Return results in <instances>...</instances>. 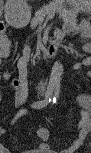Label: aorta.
<instances>
[{
    "mask_svg": "<svg viewBox=\"0 0 91 153\" xmlns=\"http://www.w3.org/2000/svg\"><path fill=\"white\" fill-rule=\"evenodd\" d=\"M61 75H62V66L56 62L51 70L50 81H49L50 85L59 86L61 81Z\"/></svg>",
    "mask_w": 91,
    "mask_h": 153,
    "instance_id": "aorta-1",
    "label": "aorta"
}]
</instances>
